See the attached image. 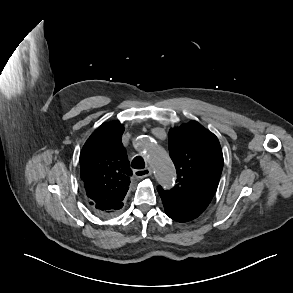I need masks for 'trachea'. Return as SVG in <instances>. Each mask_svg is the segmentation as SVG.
<instances>
[{
	"label": "trachea",
	"instance_id": "trachea-1",
	"mask_svg": "<svg viewBox=\"0 0 293 293\" xmlns=\"http://www.w3.org/2000/svg\"><path fill=\"white\" fill-rule=\"evenodd\" d=\"M132 167L134 169H143L145 167L143 158L140 156H136L132 161Z\"/></svg>",
	"mask_w": 293,
	"mask_h": 293
}]
</instances>
